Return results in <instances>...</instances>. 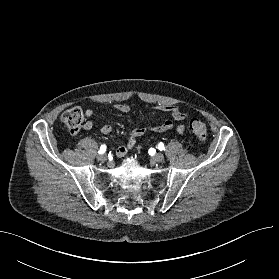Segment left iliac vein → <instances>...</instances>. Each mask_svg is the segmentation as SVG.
Instances as JSON below:
<instances>
[{
	"mask_svg": "<svg viewBox=\"0 0 279 279\" xmlns=\"http://www.w3.org/2000/svg\"><path fill=\"white\" fill-rule=\"evenodd\" d=\"M154 162H163L164 161V155L161 153H156L153 157H152Z\"/></svg>",
	"mask_w": 279,
	"mask_h": 279,
	"instance_id": "left-iliac-vein-1",
	"label": "left iliac vein"
}]
</instances>
